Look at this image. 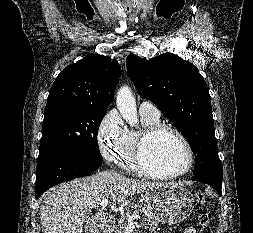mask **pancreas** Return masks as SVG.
<instances>
[{
    "label": "pancreas",
    "mask_w": 253,
    "mask_h": 233,
    "mask_svg": "<svg viewBox=\"0 0 253 233\" xmlns=\"http://www.w3.org/2000/svg\"><path fill=\"white\" fill-rule=\"evenodd\" d=\"M142 214V225L145 227V229L157 233L159 231L158 228V222L156 220L152 219V216L150 214H146L145 209L139 205V204H130L126 208V213L123 214L119 221L118 224L114 227L115 233H125V228L127 226V214Z\"/></svg>",
    "instance_id": "pancreas-1"
}]
</instances>
